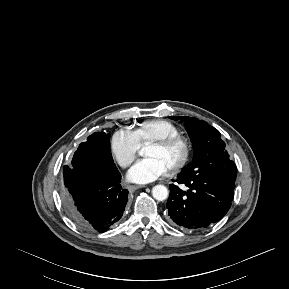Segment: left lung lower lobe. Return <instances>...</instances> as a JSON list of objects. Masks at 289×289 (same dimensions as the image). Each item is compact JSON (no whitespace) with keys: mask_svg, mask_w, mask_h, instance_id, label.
Wrapping results in <instances>:
<instances>
[{"mask_svg":"<svg viewBox=\"0 0 289 289\" xmlns=\"http://www.w3.org/2000/svg\"><path fill=\"white\" fill-rule=\"evenodd\" d=\"M176 182L190 189L186 192L174 184L170 185L167 220L172 225L185 229L206 228L228 212L235 183L219 175L189 178L180 174Z\"/></svg>","mask_w":289,"mask_h":289,"instance_id":"0a47b994","label":"left lung lower lobe"}]
</instances>
